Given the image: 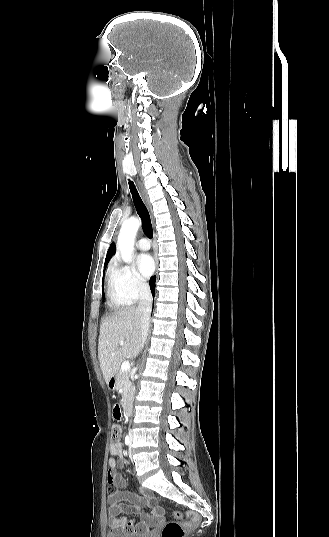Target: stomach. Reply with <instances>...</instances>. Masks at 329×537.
<instances>
[{"label":"stomach","instance_id":"stomach-1","mask_svg":"<svg viewBox=\"0 0 329 537\" xmlns=\"http://www.w3.org/2000/svg\"><path fill=\"white\" fill-rule=\"evenodd\" d=\"M107 385H108L109 389L115 390L117 388L116 387V378L112 377L111 379H109V381L107 382Z\"/></svg>","mask_w":329,"mask_h":537}]
</instances>
